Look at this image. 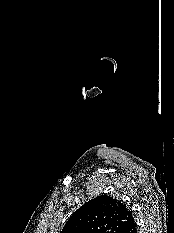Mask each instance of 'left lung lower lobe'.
Listing matches in <instances>:
<instances>
[{
	"mask_svg": "<svg viewBox=\"0 0 174 233\" xmlns=\"http://www.w3.org/2000/svg\"><path fill=\"white\" fill-rule=\"evenodd\" d=\"M122 233H138L137 223L133 221L122 231Z\"/></svg>",
	"mask_w": 174,
	"mask_h": 233,
	"instance_id": "obj_1",
	"label": "left lung lower lobe"
}]
</instances>
